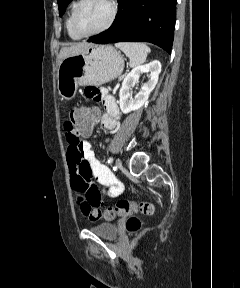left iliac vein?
Masks as SVG:
<instances>
[{"label": "left iliac vein", "mask_w": 240, "mask_h": 288, "mask_svg": "<svg viewBox=\"0 0 240 288\" xmlns=\"http://www.w3.org/2000/svg\"><path fill=\"white\" fill-rule=\"evenodd\" d=\"M115 165H116L117 168H120L122 166V161L119 158L116 159Z\"/></svg>", "instance_id": "left-iliac-vein-1"}]
</instances>
